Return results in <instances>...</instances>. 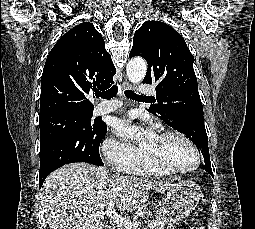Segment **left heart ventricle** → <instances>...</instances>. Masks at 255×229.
<instances>
[{
    "label": "left heart ventricle",
    "instance_id": "obj_1",
    "mask_svg": "<svg viewBox=\"0 0 255 229\" xmlns=\"http://www.w3.org/2000/svg\"><path fill=\"white\" fill-rule=\"evenodd\" d=\"M141 148L151 158L168 167L184 168L195 161V154L191 147L176 136L158 135L150 142L144 139Z\"/></svg>",
    "mask_w": 255,
    "mask_h": 229
}]
</instances>
